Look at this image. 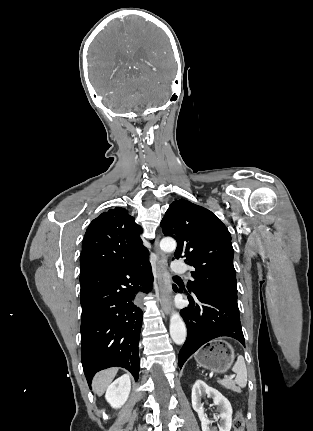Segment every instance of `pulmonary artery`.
I'll return each mask as SVG.
<instances>
[{"label":"pulmonary artery","mask_w":313,"mask_h":431,"mask_svg":"<svg viewBox=\"0 0 313 431\" xmlns=\"http://www.w3.org/2000/svg\"><path fill=\"white\" fill-rule=\"evenodd\" d=\"M172 270L175 273H184L186 271V265L180 260H175L172 263Z\"/></svg>","instance_id":"obj_1"}]
</instances>
